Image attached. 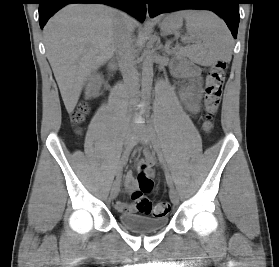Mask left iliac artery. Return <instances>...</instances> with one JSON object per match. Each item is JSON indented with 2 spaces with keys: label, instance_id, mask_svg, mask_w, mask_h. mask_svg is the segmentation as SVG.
Wrapping results in <instances>:
<instances>
[{
  "label": "left iliac artery",
  "instance_id": "44dca946",
  "mask_svg": "<svg viewBox=\"0 0 279 267\" xmlns=\"http://www.w3.org/2000/svg\"><path fill=\"white\" fill-rule=\"evenodd\" d=\"M151 134H152L153 139H154L155 148L157 150L158 157H159L160 161L163 164V168H164V172H165V177H166L167 183L170 186V188H172L173 187V181H172V178L170 176L167 164H166V162L164 160V155H163V152L161 150V147H160L159 141L157 139L156 133H155L154 129L152 128V125H151Z\"/></svg>",
  "mask_w": 279,
  "mask_h": 267
}]
</instances>
